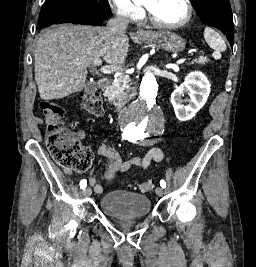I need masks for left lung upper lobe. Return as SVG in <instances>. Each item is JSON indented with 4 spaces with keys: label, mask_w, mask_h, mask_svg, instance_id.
<instances>
[{
    "label": "left lung upper lobe",
    "mask_w": 256,
    "mask_h": 267,
    "mask_svg": "<svg viewBox=\"0 0 256 267\" xmlns=\"http://www.w3.org/2000/svg\"><path fill=\"white\" fill-rule=\"evenodd\" d=\"M201 20L222 31L233 48L234 24L229 0H192Z\"/></svg>",
    "instance_id": "left-lung-upper-lobe-1"
}]
</instances>
